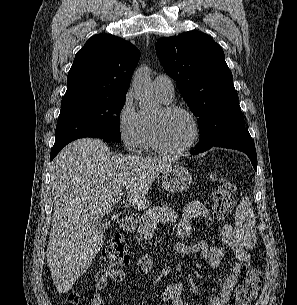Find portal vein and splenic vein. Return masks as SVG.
<instances>
[{"mask_svg": "<svg viewBox=\"0 0 297 305\" xmlns=\"http://www.w3.org/2000/svg\"><path fill=\"white\" fill-rule=\"evenodd\" d=\"M120 199H121V194H117V195L114 197V201H115V202L120 201Z\"/></svg>", "mask_w": 297, "mask_h": 305, "instance_id": "portal-vein-and-splenic-vein-1", "label": "portal vein and splenic vein"}]
</instances>
